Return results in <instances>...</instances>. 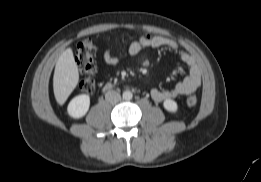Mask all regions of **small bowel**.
Segmentation results:
<instances>
[{
    "label": "small bowel",
    "mask_w": 261,
    "mask_h": 182,
    "mask_svg": "<svg viewBox=\"0 0 261 182\" xmlns=\"http://www.w3.org/2000/svg\"><path fill=\"white\" fill-rule=\"evenodd\" d=\"M147 47H165L176 52L181 62L188 68V75L172 89H152L150 94L154 101L163 102L181 95H189L200 88L201 70L195 57L181 49L175 40L160 35H144L130 44L128 52L134 56ZM103 59L108 65H115L119 62V57L112 54L110 49L104 52Z\"/></svg>",
    "instance_id": "obj_1"
}]
</instances>
